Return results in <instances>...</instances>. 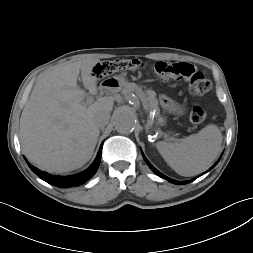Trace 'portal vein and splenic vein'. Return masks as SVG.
Returning <instances> with one entry per match:
<instances>
[{
  "instance_id": "portal-vein-and-splenic-vein-1",
  "label": "portal vein and splenic vein",
  "mask_w": 253,
  "mask_h": 253,
  "mask_svg": "<svg viewBox=\"0 0 253 253\" xmlns=\"http://www.w3.org/2000/svg\"><path fill=\"white\" fill-rule=\"evenodd\" d=\"M142 101V100H141ZM93 102V98L91 96L87 97V100H86V105H89ZM143 108L144 110L147 111V106L145 104H143Z\"/></svg>"
}]
</instances>
